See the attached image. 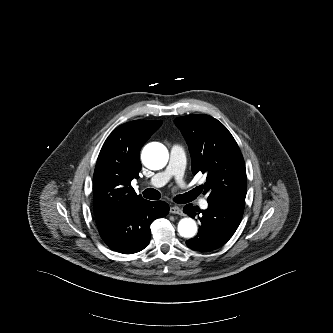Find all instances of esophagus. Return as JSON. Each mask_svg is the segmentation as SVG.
Returning a JSON list of instances; mask_svg holds the SVG:
<instances>
[{
  "label": "esophagus",
  "instance_id": "1",
  "mask_svg": "<svg viewBox=\"0 0 333 333\" xmlns=\"http://www.w3.org/2000/svg\"><path fill=\"white\" fill-rule=\"evenodd\" d=\"M170 212L173 213V214H178V215L183 216V212L178 206L171 207Z\"/></svg>",
  "mask_w": 333,
  "mask_h": 333
}]
</instances>
